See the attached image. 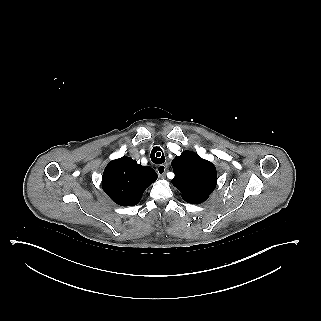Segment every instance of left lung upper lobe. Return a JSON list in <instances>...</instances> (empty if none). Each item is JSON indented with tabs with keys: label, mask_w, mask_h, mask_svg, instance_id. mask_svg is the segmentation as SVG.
<instances>
[{
	"label": "left lung upper lobe",
	"mask_w": 321,
	"mask_h": 321,
	"mask_svg": "<svg viewBox=\"0 0 321 321\" xmlns=\"http://www.w3.org/2000/svg\"><path fill=\"white\" fill-rule=\"evenodd\" d=\"M172 167L175 173L172 184L181 192L186 202L202 203L214 191L217 183L216 169L197 153L184 151L175 157Z\"/></svg>",
	"instance_id": "left-lung-upper-lobe-1"
}]
</instances>
